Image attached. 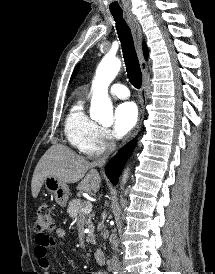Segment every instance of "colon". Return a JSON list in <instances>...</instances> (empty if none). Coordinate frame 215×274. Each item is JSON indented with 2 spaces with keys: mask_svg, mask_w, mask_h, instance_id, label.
Masks as SVG:
<instances>
[{
  "mask_svg": "<svg viewBox=\"0 0 215 274\" xmlns=\"http://www.w3.org/2000/svg\"><path fill=\"white\" fill-rule=\"evenodd\" d=\"M54 227V220L51 210L47 205H40L37 209V218L34 224V230L38 234H44L52 230Z\"/></svg>",
  "mask_w": 215,
  "mask_h": 274,
  "instance_id": "obj_1",
  "label": "colon"
}]
</instances>
